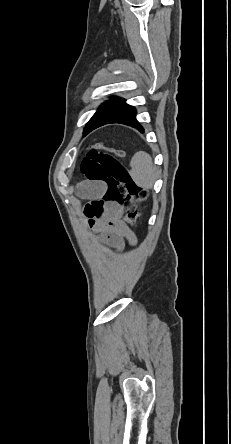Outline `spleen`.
Here are the masks:
<instances>
[{"mask_svg":"<svg viewBox=\"0 0 231 444\" xmlns=\"http://www.w3.org/2000/svg\"><path fill=\"white\" fill-rule=\"evenodd\" d=\"M130 166V176L133 181L144 189H151L156 180V168L150 155L144 151L135 153Z\"/></svg>","mask_w":231,"mask_h":444,"instance_id":"spleen-1","label":"spleen"}]
</instances>
